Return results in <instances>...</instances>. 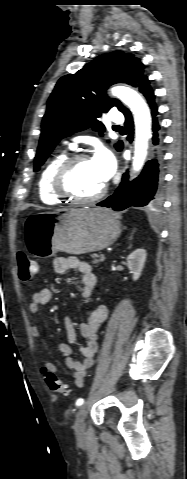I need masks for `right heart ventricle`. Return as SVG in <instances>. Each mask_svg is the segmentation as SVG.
I'll list each match as a JSON object with an SVG mask.
<instances>
[{
	"instance_id": "1",
	"label": "right heart ventricle",
	"mask_w": 187,
	"mask_h": 479,
	"mask_svg": "<svg viewBox=\"0 0 187 479\" xmlns=\"http://www.w3.org/2000/svg\"><path fill=\"white\" fill-rule=\"evenodd\" d=\"M68 156L66 150L56 153L43 168L38 181V194L40 200L48 205H56L64 199L57 196L53 190V177L61 162Z\"/></svg>"
}]
</instances>
